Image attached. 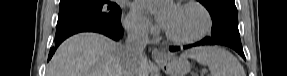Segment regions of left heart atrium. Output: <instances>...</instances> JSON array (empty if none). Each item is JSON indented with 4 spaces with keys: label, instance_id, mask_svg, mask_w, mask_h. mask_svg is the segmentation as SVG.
<instances>
[{
    "label": "left heart atrium",
    "instance_id": "1",
    "mask_svg": "<svg viewBox=\"0 0 287 76\" xmlns=\"http://www.w3.org/2000/svg\"><path fill=\"white\" fill-rule=\"evenodd\" d=\"M137 6L145 12L154 11L157 21L164 28L169 25L177 10V6L173 3L158 0H141Z\"/></svg>",
    "mask_w": 287,
    "mask_h": 76
}]
</instances>
